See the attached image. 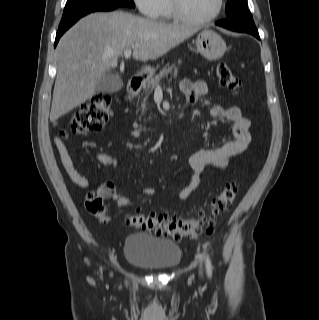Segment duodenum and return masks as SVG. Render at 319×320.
Listing matches in <instances>:
<instances>
[{
  "instance_id": "duodenum-1",
  "label": "duodenum",
  "mask_w": 319,
  "mask_h": 320,
  "mask_svg": "<svg viewBox=\"0 0 319 320\" xmlns=\"http://www.w3.org/2000/svg\"><path fill=\"white\" fill-rule=\"evenodd\" d=\"M144 78L140 75L133 76L129 79L127 89L129 93L136 92L142 85Z\"/></svg>"
}]
</instances>
